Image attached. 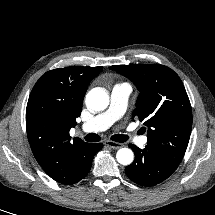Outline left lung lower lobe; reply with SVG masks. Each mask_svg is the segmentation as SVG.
Segmentation results:
<instances>
[{
	"mask_svg": "<svg viewBox=\"0 0 215 215\" xmlns=\"http://www.w3.org/2000/svg\"><path fill=\"white\" fill-rule=\"evenodd\" d=\"M135 153L134 162L125 168L127 176L141 186H154L167 179L179 164L164 157L151 146L140 149L129 144Z\"/></svg>",
	"mask_w": 215,
	"mask_h": 215,
	"instance_id": "0a47b994",
	"label": "left lung lower lobe"
}]
</instances>
